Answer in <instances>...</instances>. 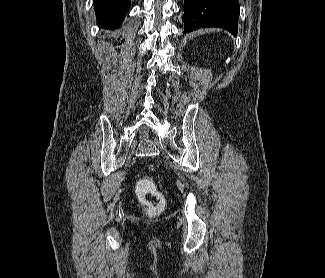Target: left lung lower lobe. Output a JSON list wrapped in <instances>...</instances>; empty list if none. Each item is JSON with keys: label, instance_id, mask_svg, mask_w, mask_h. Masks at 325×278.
Wrapping results in <instances>:
<instances>
[{"label": "left lung lower lobe", "instance_id": "left-lung-lower-lobe-1", "mask_svg": "<svg viewBox=\"0 0 325 278\" xmlns=\"http://www.w3.org/2000/svg\"><path fill=\"white\" fill-rule=\"evenodd\" d=\"M238 18V0H184V33L217 27L236 36Z\"/></svg>", "mask_w": 325, "mask_h": 278}]
</instances>
